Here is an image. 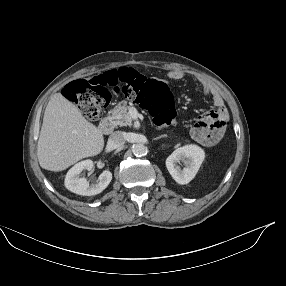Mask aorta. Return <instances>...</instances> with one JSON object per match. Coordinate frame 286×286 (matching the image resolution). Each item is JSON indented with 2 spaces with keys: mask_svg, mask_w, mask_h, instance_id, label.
Masks as SVG:
<instances>
[{
  "mask_svg": "<svg viewBox=\"0 0 286 286\" xmlns=\"http://www.w3.org/2000/svg\"><path fill=\"white\" fill-rule=\"evenodd\" d=\"M133 154L137 157H141L147 154V147L144 144H135L132 148Z\"/></svg>",
  "mask_w": 286,
  "mask_h": 286,
  "instance_id": "1",
  "label": "aorta"
}]
</instances>
